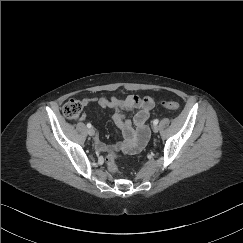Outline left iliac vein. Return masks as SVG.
I'll use <instances>...</instances> for the list:
<instances>
[{
    "mask_svg": "<svg viewBox=\"0 0 243 243\" xmlns=\"http://www.w3.org/2000/svg\"><path fill=\"white\" fill-rule=\"evenodd\" d=\"M158 130H159L158 126H157V125H154V126H153V131H154L155 133H157Z\"/></svg>",
    "mask_w": 243,
    "mask_h": 243,
    "instance_id": "obj_1",
    "label": "left iliac vein"
}]
</instances>
